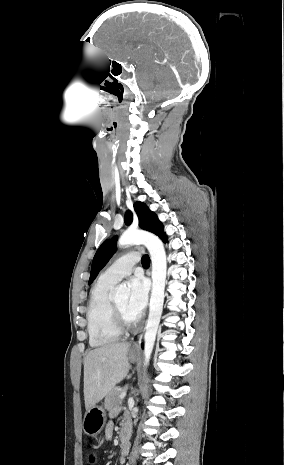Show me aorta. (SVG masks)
I'll use <instances>...</instances> for the list:
<instances>
[{
    "label": "aorta",
    "instance_id": "obj_1",
    "mask_svg": "<svg viewBox=\"0 0 284 465\" xmlns=\"http://www.w3.org/2000/svg\"><path fill=\"white\" fill-rule=\"evenodd\" d=\"M119 246L143 244L147 247L152 260V292L149 306V316L144 334V366H148L153 351L158 326L160 323L167 271L166 253L162 241L152 233L135 230L125 231L118 240ZM129 288L120 285L114 296L117 299L127 298Z\"/></svg>",
    "mask_w": 284,
    "mask_h": 465
}]
</instances>
